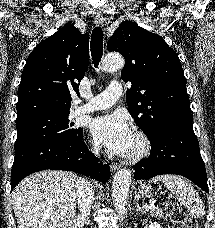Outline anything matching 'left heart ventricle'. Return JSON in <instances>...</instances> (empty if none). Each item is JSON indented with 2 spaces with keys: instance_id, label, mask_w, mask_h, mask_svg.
I'll return each instance as SVG.
<instances>
[{
  "instance_id": "left-heart-ventricle-1",
  "label": "left heart ventricle",
  "mask_w": 215,
  "mask_h": 228,
  "mask_svg": "<svg viewBox=\"0 0 215 228\" xmlns=\"http://www.w3.org/2000/svg\"><path fill=\"white\" fill-rule=\"evenodd\" d=\"M136 147H137V140H136V138L134 137V138H133L132 145H131V147H130V149H129V151H128L127 153L132 152L134 149H136Z\"/></svg>"
}]
</instances>
